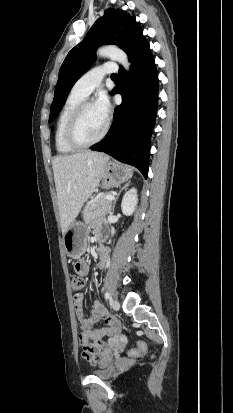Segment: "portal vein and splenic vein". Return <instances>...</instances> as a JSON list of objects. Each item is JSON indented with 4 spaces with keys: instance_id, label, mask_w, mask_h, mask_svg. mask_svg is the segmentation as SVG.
<instances>
[{
    "instance_id": "obj_1",
    "label": "portal vein and splenic vein",
    "mask_w": 233,
    "mask_h": 413,
    "mask_svg": "<svg viewBox=\"0 0 233 413\" xmlns=\"http://www.w3.org/2000/svg\"><path fill=\"white\" fill-rule=\"evenodd\" d=\"M105 198L108 199V200H113V199H114V195L108 194V195L105 196Z\"/></svg>"
}]
</instances>
